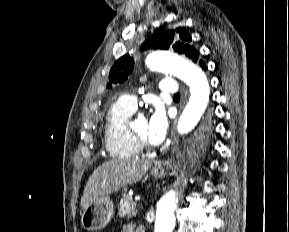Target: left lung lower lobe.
<instances>
[{
	"label": "left lung lower lobe",
	"mask_w": 289,
	"mask_h": 232,
	"mask_svg": "<svg viewBox=\"0 0 289 232\" xmlns=\"http://www.w3.org/2000/svg\"><path fill=\"white\" fill-rule=\"evenodd\" d=\"M199 64L203 70H207V66L203 63V61L200 60Z\"/></svg>",
	"instance_id": "left-lung-lower-lobe-1"
}]
</instances>
